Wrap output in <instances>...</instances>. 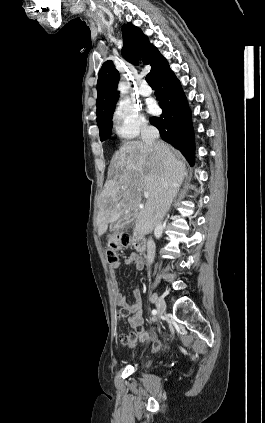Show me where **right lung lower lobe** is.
<instances>
[{"instance_id":"right-lung-lower-lobe-1","label":"right lung lower lobe","mask_w":265,"mask_h":423,"mask_svg":"<svg viewBox=\"0 0 265 423\" xmlns=\"http://www.w3.org/2000/svg\"><path fill=\"white\" fill-rule=\"evenodd\" d=\"M153 80L163 113L160 117H151L150 123L159 130L164 141L180 150L193 165L195 144L191 113L180 82L168 63L156 72Z\"/></svg>"}]
</instances>
